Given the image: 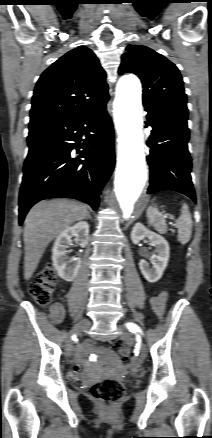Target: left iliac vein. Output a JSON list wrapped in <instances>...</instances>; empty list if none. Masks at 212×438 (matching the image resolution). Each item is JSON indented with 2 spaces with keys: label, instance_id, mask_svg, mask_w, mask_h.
<instances>
[{
  "label": "left iliac vein",
  "instance_id": "4c4485c4",
  "mask_svg": "<svg viewBox=\"0 0 212 438\" xmlns=\"http://www.w3.org/2000/svg\"><path fill=\"white\" fill-rule=\"evenodd\" d=\"M120 338L126 342L132 341V334L130 332L124 331ZM141 358L144 359L146 357V348L144 344H141Z\"/></svg>",
  "mask_w": 212,
  "mask_h": 438
}]
</instances>
